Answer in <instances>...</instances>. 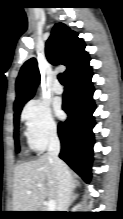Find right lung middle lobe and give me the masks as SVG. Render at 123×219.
I'll return each instance as SVG.
<instances>
[{"mask_svg":"<svg viewBox=\"0 0 123 219\" xmlns=\"http://www.w3.org/2000/svg\"><path fill=\"white\" fill-rule=\"evenodd\" d=\"M21 109L15 111V113H14V127H15L14 128V140H15L16 151H19V149H20L19 140H18V124H19Z\"/></svg>","mask_w":123,"mask_h":219,"instance_id":"right-lung-middle-lobe-1","label":"right lung middle lobe"}]
</instances>
